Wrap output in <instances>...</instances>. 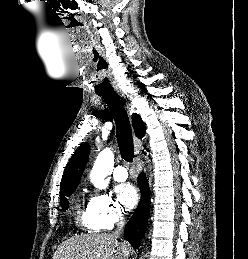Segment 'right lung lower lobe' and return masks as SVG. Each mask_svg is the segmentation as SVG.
Segmentation results:
<instances>
[{"instance_id": "1", "label": "right lung lower lobe", "mask_w": 248, "mask_h": 259, "mask_svg": "<svg viewBox=\"0 0 248 259\" xmlns=\"http://www.w3.org/2000/svg\"><path fill=\"white\" fill-rule=\"evenodd\" d=\"M138 182L142 191V199L124 230L125 239L129 241L135 249L140 247L150 212L149 187L143 174L139 176Z\"/></svg>"}]
</instances>
